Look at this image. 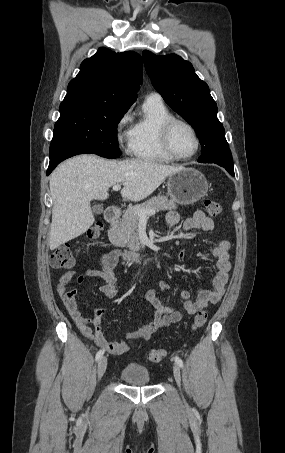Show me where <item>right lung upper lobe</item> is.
<instances>
[{"mask_svg":"<svg viewBox=\"0 0 285 453\" xmlns=\"http://www.w3.org/2000/svg\"><path fill=\"white\" fill-rule=\"evenodd\" d=\"M142 67V58L133 51L115 53L99 48L82 62L63 103L97 102L128 109L142 84Z\"/></svg>","mask_w":285,"mask_h":453,"instance_id":"1","label":"right lung upper lobe"}]
</instances>
